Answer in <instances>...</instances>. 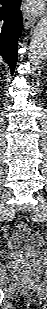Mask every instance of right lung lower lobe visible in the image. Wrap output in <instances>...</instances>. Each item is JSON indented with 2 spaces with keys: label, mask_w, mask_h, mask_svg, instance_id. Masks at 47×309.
<instances>
[{
  "label": "right lung lower lobe",
  "mask_w": 47,
  "mask_h": 309,
  "mask_svg": "<svg viewBox=\"0 0 47 309\" xmlns=\"http://www.w3.org/2000/svg\"><path fill=\"white\" fill-rule=\"evenodd\" d=\"M21 0H0V56L13 74L17 60L18 38L22 30Z\"/></svg>",
  "instance_id": "right-lung-lower-lobe-1"
}]
</instances>
